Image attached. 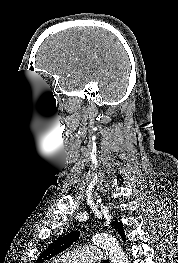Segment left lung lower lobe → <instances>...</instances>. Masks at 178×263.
I'll list each match as a JSON object with an SVG mask.
<instances>
[{"instance_id": "obj_1", "label": "left lung lower lobe", "mask_w": 178, "mask_h": 263, "mask_svg": "<svg viewBox=\"0 0 178 263\" xmlns=\"http://www.w3.org/2000/svg\"><path fill=\"white\" fill-rule=\"evenodd\" d=\"M119 234L121 235L123 241L125 242L126 241V238H125V234H124V229L122 228V230L119 232Z\"/></svg>"}]
</instances>
